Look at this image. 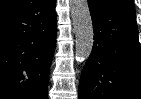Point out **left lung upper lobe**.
Instances as JSON below:
<instances>
[{
    "label": "left lung upper lobe",
    "mask_w": 141,
    "mask_h": 99,
    "mask_svg": "<svg viewBox=\"0 0 141 99\" xmlns=\"http://www.w3.org/2000/svg\"><path fill=\"white\" fill-rule=\"evenodd\" d=\"M115 2H132V0H113Z\"/></svg>",
    "instance_id": "1"
}]
</instances>
